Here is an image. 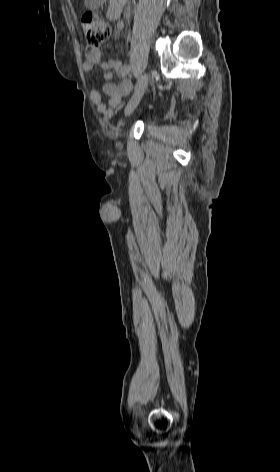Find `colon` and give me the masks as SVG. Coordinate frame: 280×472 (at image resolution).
<instances>
[{"label":"colon","mask_w":280,"mask_h":472,"mask_svg":"<svg viewBox=\"0 0 280 472\" xmlns=\"http://www.w3.org/2000/svg\"><path fill=\"white\" fill-rule=\"evenodd\" d=\"M81 26L86 39V54L92 56L100 45L109 37V25L92 12H85L81 16Z\"/></svg>","instance_id":"colon-1"}]
</instances>
